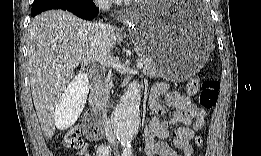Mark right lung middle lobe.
Returning <instances> with one entry per match:
<instances>
[{
    "label": "right lung middle lobe",
    "mask_w": 261,
    "mask_h": 156,
    "mask_svg": "<svg viewBox=\"0 0 261 156\" xmlns=\"http://www.w3.org/2000/svg\"><path fill=\"white\" fill-rule=\"evenodd\" d=\"M59 1H61V0H34L33 6L56 3Z\"/></svg>",
    "instance_id": "dd1d6c3e"
}]
</instances>
